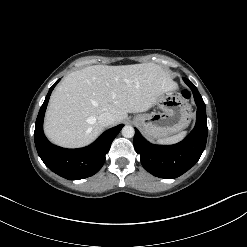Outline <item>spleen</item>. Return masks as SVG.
<instances>
[{"instance_id":"1","label":"spleen","mask_w":247,"mask_h":247,"mask_svg":"<svg viewBox=\"0 0 247 247\" xmlns=\"http://www.w3.org/2000/svg\"><path fill=\"white\" fill-rule=\"evenodd\" d=\"M186 134H187L186 131L180 132L177 135H174V136H171V137H167V138H164V139H159L157 142L159 144H175V143L181 141L186 136Z\"/></svg>"}]
</instances>
